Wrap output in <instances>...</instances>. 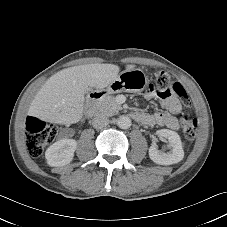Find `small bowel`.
<instances>
[{
	"instance_id": "1",
	"label": "small bowel",
	"mask_w": 227,
	"mask_h": 227,
	"mask_svg": "<svg viewBox=\"0 0 227 227\" xmlns=\"http://www.w3.org/2000/svg\"><path fill=\"white\" fill-rule=\"evenodd\" d=\"M145 98L153 99L155 102H161L164 111L153 114L142 113L143 120L141 124L147 126L161 125L169 129L176 130L179 127L178 120L175 115L181 112V103L174 96L171 89H157L155 83H148L146 85Z\"/></svg>"
}]
</instances>
